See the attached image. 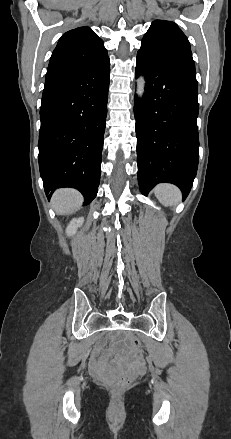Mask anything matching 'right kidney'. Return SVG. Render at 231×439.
I'll return each mask as SVG.
<instances>
[{"label": "right kidney", "mask_w": 231, "mask_h": 439, "mask_svg": "<svg viewBox=\"0 0 231 439\" xmlns=\"http://www.w3.org/2000/svg\"><path fill=\"white\" fill-rule=\"evenodd\" d=\"M84 219L83 218H74L70 224L68 225L67 229H66V233L68 236H71L73 234L76 233L78 227H80L83 223Z\"/></svg>", "instance_id": "obj_1"}]
</instances>
